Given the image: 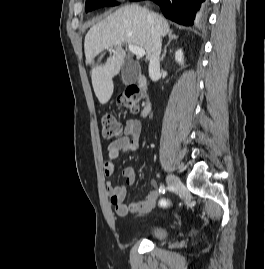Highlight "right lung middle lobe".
<instances>
[{"mask_svg":"<svg viewBox=\"0 0 265 269\" xmlns=\"http://www.w3.org/2000/svg\"><path fill=\"white\" fill-rule=\"evenodd\" d=\"M118 4V2L113 0H86V12L96 9L100 6H115Z\"/></svg>","mask_w":265,"mask_h":269,"instance_id":"1","label":"right lung middle lobe"}]
</instances>
